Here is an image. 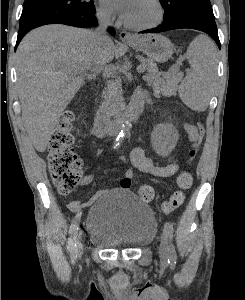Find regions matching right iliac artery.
I'll return each instance as SVG.
<instances>
[{"label":"right iliac artery","mask_w":245,"mask_h":300,"mask_svg":"<svg viewBox=\"0 0 245 300\" xmlns=\"http://www.w3.org/2000/svg\"><path fill=\"white\" fill-rule=\"evenodd\" d=\"M81 218V213H78L72 220L69 234L70 237L68 239V251L71 253L73 258H76L77 256V250H76V236L79 229V222Z\"/></svg>","instance_id":"obj_1"}]
</instances>
